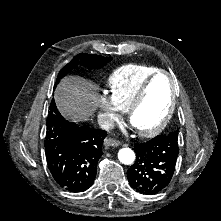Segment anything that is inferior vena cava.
Segmentation results:
<instances>
[{"mask_svg":"<svg viewBox=\"0 0 221 221\" xmlns=\"http://www.w3.org/2000/svg\"><path fill=\"white\" fill-rule=\"evenodd\" d=\"M97 121L99 126L104 130H109L114 127V121L108 114H99Z\"/></svg>","mask_w":221,"mask_h":221,"instance_id":"602c4592","label":"inferior vena cava"}]
</instances>
